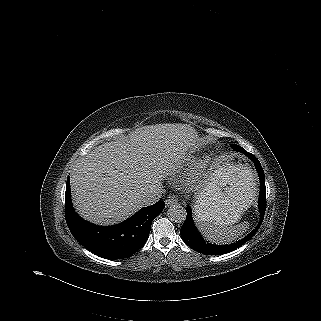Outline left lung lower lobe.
Wrapping results in <instances>:
<instances>
[{"instance_id": "obj_1", "label": "left lung lower lobe", "mask_w": 321, "mask_h": 321, "mask_svg": "<svg viewBox=\"0 0 321 321\" xmlns=\"http://www.w3.org/2000/svg\"><path fill=\"white\" fill-rule=\"evenodd\" d=\"M238 152L244 153L255 163L256 170L259 174L260 184H261L259 201H258L260 216H261L259 225L250 234H248L246 237H244L242 240L236 243H233L230 245H224V246H216L205 242V240L200 236V234L196 230L193 223L191 208L190 206H187L186 207L187 217L184 224L181 227L180 234L183 241L190 248H192L193 250L199 253H203L206 255H221L237 249L238 247H240L241 245L249 241L255 235L264 218V212L266 209V187H265L264 171L262 169V166L259 160L253 154L247 152L242 147L238 148Z\"/></svg>"}]
</instances>
